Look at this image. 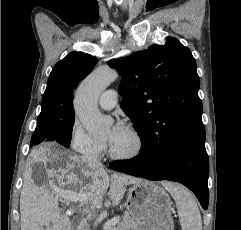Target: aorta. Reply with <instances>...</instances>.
I'll return each mask as SVG.
<instances>
[{
	"instance_id": "762f6f07",
	"label": "aorta",
	"mask_w": 241,
	"mask_h": 230,
	"mask_svg": "<svg viewBox=\"0 0 241 230\" xmlns=\"http://www.w3.org/2000/svg\"><path fill=\"white\" fill-rule=\"evenodd\" d=\"M118 73L107 67L98 68L87 76L77 89L74 108L79 121L92 136L104 135L112 119L103 116L98 109L101 93L117 78Z\"/></svg>"
}]
</instances>
